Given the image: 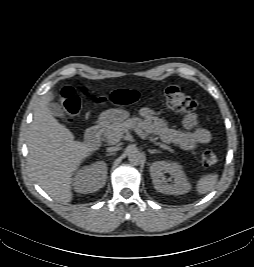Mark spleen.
<instances>
[{
    "mask_svg": "<svg viewBox=\"0 0 254 267\" xmlns=\"http://www.w3.org/2000/svg\"><path fill=\"white\" fill-rule=\"evenodd\" d=\"M218 175L217 174H208L202 176L196 185L198 194H206L212 191L217 183Z\"/></svg>",
    "mask_w": 254,
    "mask_h": 267,
    "instance_id": "obj_1",
    "label": "spleen"
}]
</instances>
